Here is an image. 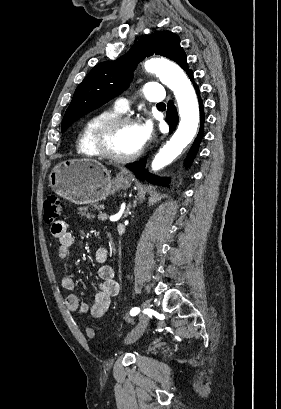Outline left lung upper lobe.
<instances>
[{
    "instance_id": "obj_1",
    "label": "left lung upper lobe",
    "mask_w": 281,
    "mask_h": 409,
    "mask_svg": "<svg viewBox=\"0 0 281 409\" xmlns=\"http://www.w3.org/2000/svg\"><path fill=\"white\" fill-rule=\"evenodd\" d=\"M153 54L165 56L188 73L186 54L179 37L171 31H158L141 38L125 55L96 65L78 85L62 121L64 132L76 120L120 94L132 80L139 62Z\"/></svg>"
}]
</instances>
